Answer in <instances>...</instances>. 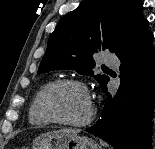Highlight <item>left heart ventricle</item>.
I'll return each instance as SVG.
<instances>
[{
    "label": "left heart ventricle",
    "mask_w": 155,
    "mask_h": 149,
    "mask_svg": "<svg viewBox=\"0 0 155 149\" xmlns=\"http://www.w3.org/2000/svg\"><path fill=\"white\" fill-rule=\"evenodd\" d=\"M50 108L62 119L80 121L89 113L85 93L77 86L62 85L54 88L48 97Z\"/></svg>",
    "instance_id": "b2bd125f"
}]
</instances>
